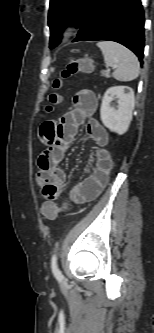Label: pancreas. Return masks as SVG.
Listing matches in <instances>:
<instances>
[{"instance_id":"cf45deb5","label":"pancreas","mask_w":154,"mask_h":333,"mask_svg":"<svg viewBox=\"0 0 154 333\" xmlns=\"http://www.w3.org/2000/svg\"><path fill=\"white\" fill-rule=\"evenodd\" d=\"M101 75L104 76V77H106V78H109V77H110V73H109V71H102V72H101Z\"/></svg>"}]
</instances>
